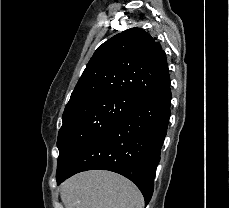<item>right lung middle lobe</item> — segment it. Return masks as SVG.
Here are the masks:
<instances>
[{
  "mask_svg": "<svg viewBox=\"0 0 229 208\" xmlns=\"http://www.w3.org/2000/svg\"><path fill=\"white\" fill-rule=\"evenodd\" d=\"M140 104L118 94L99 96L70 108L63 114L58 133L57 177L64 174L80 152Z\"/></svg>",
  "mask_w": 229,
  "mask_h": 208,
  "instance_id": "dd1d6c3e",
  "label": "right lung middle lobe"
}]
</instances>
